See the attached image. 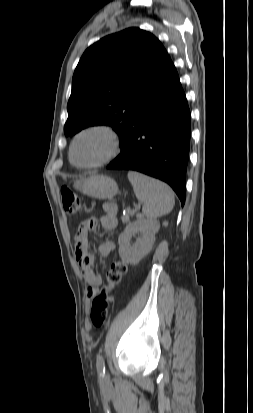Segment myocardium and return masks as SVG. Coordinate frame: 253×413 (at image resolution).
<instances>
[{
	"mask_svg": "<svg viewBox=\"0 0 253 413\" xmlns=\"http://www.w3.org/2000/svg\"><path fill=\"white\" fill-rule=\"evenodd\" d=\"M89 133H99V134L104 135L109 142V147H108L107 152L96 162H93L90 164H80L74 158L75 145L82 136L89 134ZM120 150H121V142H120L119 135L111 126L106 125V124H93V125L84 127L83 129H81L74 135L71 141V144H70L69 157H70L71 162L75 166L79 168H83V169H90V168L100 167L112 161L114 158L118 156V154L120 153Z\"/></svg>",
	"mask_w": 253,
	"mask_h": 413,
	"instance_id": "obj_1",
	"label": "myocardium"
}]
</instances>
